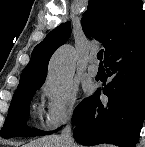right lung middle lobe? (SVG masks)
<instances>
[{
  "label": "right lung middle lobe",
  "instance_id": "right-lung-middle-lobe-1",
  "mask_svg": "<svg viewBox=\"0 0 145 147\" xmlns=\"http://www.w3.org/2000/svg\"><path fill=\"white\" fill-rule=\"evenodd\" d=\"M41 86H32L16 90L9 107V113L0 134L3 138L9 137H34L47 135L53 132H45L36 129H30L26 125L29 117V106L35 92ZM80 105V104H79ZM78 105V106H79Z\"/></svg>",
  "mask_w": 145,
  "mask_h": 147
}]
</instances>
